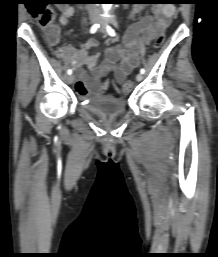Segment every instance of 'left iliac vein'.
I'll return each mask as SVG.
<instances>
[{
    "mask_svg": "<svg viewBox=\"0 0 218 257\" xmlns=\"http://www.w3.org/2000/svg\"><path fill=\"white\" fill-rule=\"evenodd\" d=\"M98 21H99V24H100V32L105 34V32H106V30H105V26H106L105 21L103 19H101V18ZM142 79H143L142 73L137 74L136 80L137 81H141Z\"/></svg>",
    "mask_w": 218,
    "mask_h": 257,
    "instance_id": "1",
    "label": "left iliac vein"
}]
</instances>
